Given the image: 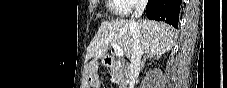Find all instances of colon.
<instances>
[{
  "label": "colon",
  "instance_id": "obj_1",
  "mask_svg": "<svg viewBox=\"0 0 227 88\" xmlns=\"http://www.w3.org/2000/svg\"><path fill=\"white\" fill-rule=\"evenodd\" d=\"M99 70H100V68L99 67H96L95 68V73L98 74Z\"/></svg>",
  "mask_w": 227,
  "mask_h": 88
}]
</instances>
